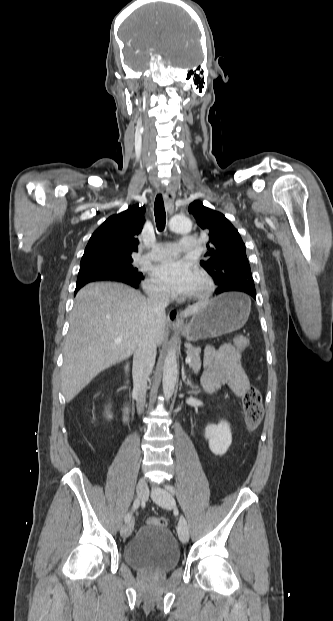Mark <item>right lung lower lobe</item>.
<instances>
[{
    "label": "right lung lower lobe",
    "mask_w": 333,
    "mask_h": 621,
    "mask_svg": "<svg viewBox=\"0 0 333 621\" xmlns=\"http://www.w3.org/2000/svg\"><path fill=\"white\" fill-rule=\"evenodd\" d=\"M142 279H143V277L140 278V279L135 280V279L118 277V276L102 275V274H90V275L78 276L74 295L85 284H87L89 282H93V281H117V282H122V283L128 284V285H130V286H132L134 288H138L139 283H140V281Z\"/></svg>",
    "instance_id": "98d812e1"
}]
</instances>
